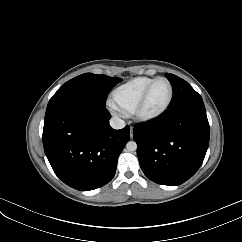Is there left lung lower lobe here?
Returning <instances> with one entry per match:
<instances>
[{
	"instance_id": "0a47b994",
	"label": "left lung lower lobe",
	"mask_w": 242,
	"mask_h": 242,
	"mask_svg": "<svg viewBox=\"0 0 242 242\" xmlns=\"http://www.w3.org/2000/svg\"><path fill=\"white\" fill-rule=\"evenodd\" d=\"M144 174L162 185H179L200 168L209 144L202 100L169 108L156 122L133 129Z\"/></svg>"
}]
</instances>
